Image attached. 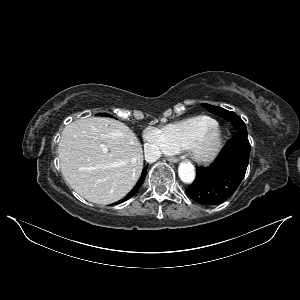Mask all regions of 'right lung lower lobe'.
<instances>
[{
  "label": "right lung lower lobe",
  "mask_w": 300,
  "mask_h": 300,
  "mask_svg": "<svg viewBox=\"0 0 300 300\" xmlns=\"http://www.w3.org/2000/svg\"><path fill=\"white\" fill-rule=\"evenodd\" d=\"M146 171H147V167L143 169L142 174H141V177H140V179H139L138 182H137V184H139L140 187H141V185H142V183H143V181H144V179H145ZM135 186H136V185H135ZM140 187H139V188H140ZM133 189H134V188H133ZM133 189L131 190V192H130L125 198H123V199L120 200L119 202H116L115 204L124 202V201L128 200L129 198H131V197L133 196V192H134ZM138 190H139V189H138Z\"/></svg>",
  "instance_id": "right-lung-lower-lobe-1"
}]
</instances>
